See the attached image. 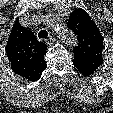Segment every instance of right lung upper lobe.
Returning <instances> with one entry per match:
<instances>
[{
    "label": "right lung upper lobe",
    "instance_id": "obj_1",
    "mask_svg": "<svg viewBox=\"0 0 113 113\" xmlns=\"http://www.w3.org/2000/svg\"><path fill=\"white\" fill-rule=\"evenodd\" d=\"M46 50L47 46L39 42L33 32L22 27L17 19L6 45L12 71L30 81H37L46 69Z\"/></svg>",
    "mask_w": 113,
    "mask_h": 113
}]
</instances>
